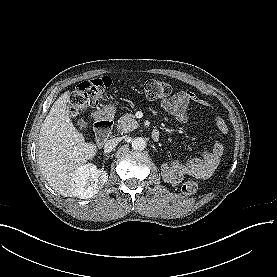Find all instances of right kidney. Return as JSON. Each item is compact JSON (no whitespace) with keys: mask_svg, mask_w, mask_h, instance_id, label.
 <instances>
[{"mask_svg":"<svg viewBox=\"0 0 277 277\" xmlns=\"http://www.w3.org/2000/svg\"><path fill=\"white\" fill-rule=\"evenodd\" d=\"M107 173L98 170L92 163L84 164L77 168L73 175L74 184L81 198H89L99 191L98 181L105 182Z\"/></svg>","mask_w":277,"mask_h":277,"instance_id":"ca27d5eb","label":"right kidney"}]
</instances>
